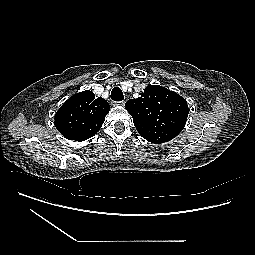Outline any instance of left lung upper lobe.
I'll return each mask as SVG.
<instances>
[{"instance_id": "1", "label": "left lung upper lobe", "mask_w": 255, "mask_h": 255, "mask_svg": "<svg viewBox=\"0 0 255 255\" xmlns=\"http://www.w3.org/2000/svg\"><path fill=\"white\" fill-rule=\"evenodd\" d=\"M125 106L141 137L155 144L175 138L189 113L182 96L159 85H148L140 97L129 99Z\"/></svg>"}]
</instances>
